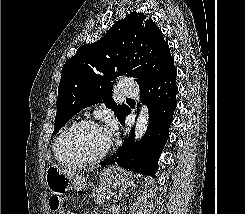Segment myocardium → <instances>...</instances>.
Instances as JSON below:
<instances>
[{"label":"myocardium","instance_id":"1","mask_svg":"<svg viewBox=\"0 0 245 214\" xmlns=\"http://www.w3.org/2000/svg\"><path fill=\"white\" fill-rule=\"evenodd\" d=\"M81 126H93V127H97L102 129V127L100 126V124L92 119H82L79 121L74 122L72 125H70L69 127H67L63 133L60 135V137L58 138L57 142H56V147H55V153L57 158L67 164V165H91V164H95L98 163L100 161H102L112 150L113 148V142L112 140L109 138V144L108 146L97 156L91 157V158H72V157H68L66 156L63 152H62V147L64 144L65 139L68 137V135L74 131L75 129L81 127Z\"/></svg>","mask_w":245,"mask_h":214}]
</instances>
